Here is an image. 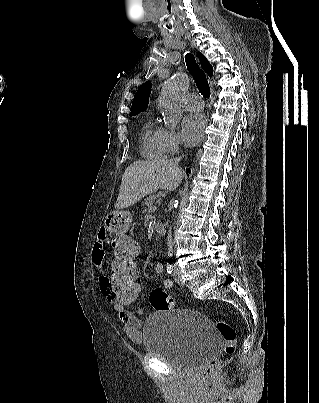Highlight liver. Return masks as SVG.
Wrapping results in <instances>:
<instances>
[{"label": "liver", "mask_w": 319, "mask_h": 403, "mask_svg": "<svg viewBox=\"0 0 319 403\" xmlns=\"http://www.w3.org/2000/svg\"><path fill=\"white\" fill-rule=\"evenodd\" d=\"M182 180V170L170 160H138L130 164L122 177L115 208L117 210L136 204L156 190H174Z\"/></svg>", "instance_id": "obj_1"}]
</instances>
